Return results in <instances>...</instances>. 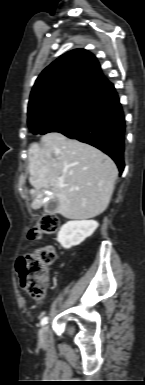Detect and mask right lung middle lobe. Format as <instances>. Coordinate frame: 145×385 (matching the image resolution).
Segmentation results:
<instances>
[{"label":"right lung middle lobe","instance_id":"1","mask_svg":"<svg viewBox=\"0 0 145 385\" xmlns=\"http://www.w3.org/2000/svg\"><path fill=\"white\" fill-rule=\"evenodd\" d=\"M99 92L74 89L37 105L28 112V126L34 134L55 132L83 111Z\"/></svg>","mask_w":145,"mask_h":385}]
</instances>
